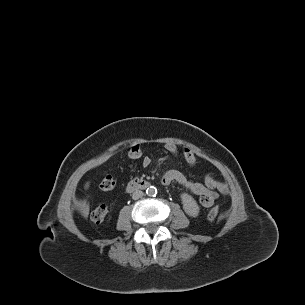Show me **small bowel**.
I'll return each mask as SVG.
<instances>
[{"mask_svg":"<svg viewBox=\"0 0 305 305\" xmlns=\"http://www.w3.org/2000/svg\"><path fill=\"white\" fill-rule=\"evenodd\" d=\"M165 149L172 154L177 156L179 154L178 147L174 143H166ZM182 156L186 163L190 166L196 165V154L194 150L189 147L182 149ZM151 159L148 156L142 158L143 166H149ZM163 185H169L176 182L186 189L190 190L193 194L199 197L200 204L206 208L211 207L215 200L218 198L219 193L223 195L228 194L227 186L218 180L213 173H208L203 183L189 181L183 173L176 169L168 170L161 178Z\"/></svg>","mask_w":305,"mask_h":305,"instance_id":"1","label":"small bowel"}]
</instances>
